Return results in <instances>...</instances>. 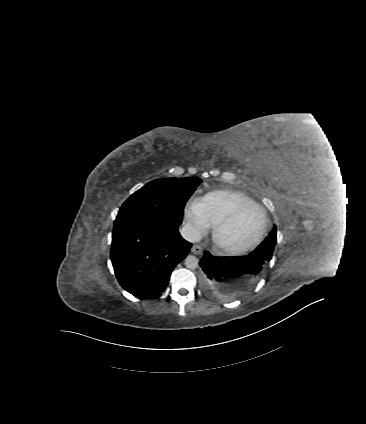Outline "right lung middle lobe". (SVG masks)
Segmentation results:
<instances>
[{"instance_id":"obj_1","label":"right lung middle lobe","mask_w":366,"mask_h":424,"mask_svg":"<svg viewBox=\"0 0 366 424\" xmlns=\"http://www.w3.org/2000/svg\"><path fill=\"white\" fill-rule=\"evenodd\" d=\"M201 182L195 177L151 181L124 202L115 221L153 216L178 227L186 201Z\"/></svg>"}]
</instances>
